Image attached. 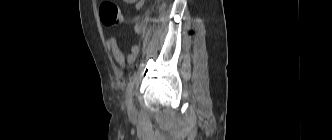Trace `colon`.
Listing matches in <instances>:
<instances>
[{
    "instance_id": "obj_1",
    "label": "colon",
    "mask_w": 332,
    "mask_h": 140,
    "mask_svg": "<svg viewBox=\"0 0 332 140\" xmlns=\"http://www.w3.org/2000/svg\"><path fill=\"white\" fill-rule=\"evenodd\" d=\"M99 13L105 26H115L123 21L120 8L110 0H105L101 3Z\"/></svg>"
}]
</instances>
